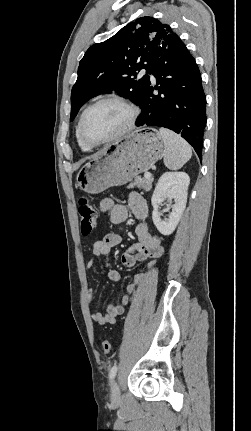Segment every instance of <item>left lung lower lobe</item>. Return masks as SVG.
Segmentation results:
<instances>
[{
	"label": "left lung lower lobe",
	"mask_w": 251,
	"mask_h": 431,
	"mask_svg": "<svg viewBox=\"0 0 251 431\" xmlns=\"http://www.w3.org/2000/svg\"><path fill=\"white\" fill-rule=\"evenodd\" d=\"M149 84L141 104L137 126H160L179 133L202 159L206 126V96L199 68L181 39L174 33L154 52ZM158 94H153V90Z\"/></svg>",
	"instance_id": "1"
}]
</instances>
